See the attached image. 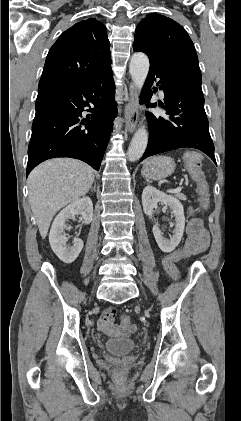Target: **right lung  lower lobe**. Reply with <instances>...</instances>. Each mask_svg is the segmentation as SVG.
<instances>
[{"label": "right lung lower lobe", "instance_id": "right-lung-lower-lobe-1", "mask_svg": "<svg viewBox=\"0 0 241 421\" xmlns=\"http://www.w3.org/2000/svg\"><path fill=\"white\" fill-rule=\"evenodd\" d=\"M114 89L109 68L90 81L38 94L26 175L56 157L80 159L99 170L117 112ZM90 104L94 108L85 109ZM83 111L90 112L86 119Z\"/></svg>", "mask_w": 241, "mask_h": 421}]
</instances>
